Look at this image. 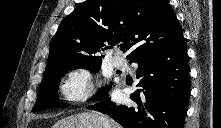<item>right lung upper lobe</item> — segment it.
I'll return each mask as SVG.
<instances>
[{
	"label": "right lung upper lobe",
	"instance_id": "right-lung-upper-lobe-1",
	"mask_svg": "<svg viewBox=\"0 0 221 128\" xmlns=\"http://www.w3.org/2000/svg\"><path fill=\"white\" fill-rule=\"evenodd\" d=\"M182 39V28L167 0H87L60 23L47 67L75 59L102 60L108 45L119 42L132 60Z\"/></svg>",
	"mask_w": 221,
	"mask_h": 128
}]
</instances>
